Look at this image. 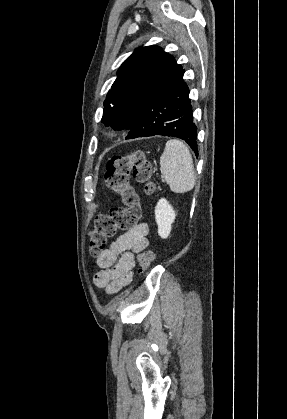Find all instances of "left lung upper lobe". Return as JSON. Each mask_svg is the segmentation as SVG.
I'll use <instances>...</instances> for the list:
<instances>
[{
	"label": "left lung upper lobe",
	"mask_w": 287,
	"mask_h": 419,
	"mask_svg": "<svg viewBox=\"0 0 287 419\" xmlns=\"http://www.w3.org/2000/svg\"><path fill=\"white\" fill-rule=\"evenodd\" d=\"M182 72V66L160 47L136 49L118 70L104 101L102 123L114 130H129L143 104L172 85Z\"/></svg>",
	"instance_id": "obj_1"
}]
</instances>
